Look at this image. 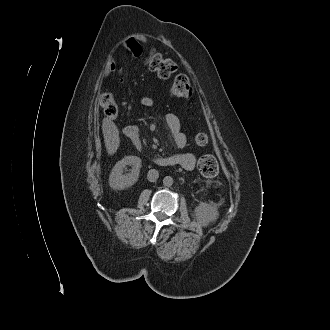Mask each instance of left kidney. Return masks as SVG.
<instances>
[{"label":"left kidney","mask_w":330,"mask_h":330,"mask_svg":"<svg viewBox=\"0 0 330 330\" xmlns=\"http://www.w3.org/2000/svg\"><path fill=\"white\" fill-rule=\"evenodd\" d=\"M218 216V209L212 204L201 202L195 208V218L202 226H207L209 223L216 221Z\"/></svg>","instance_id":"obj_1"}]
</instances>
